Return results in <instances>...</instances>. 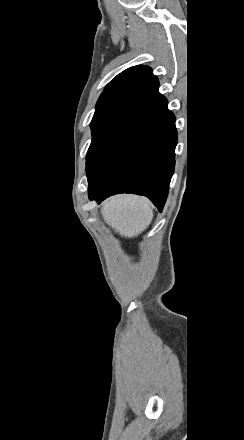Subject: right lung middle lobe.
Wrapping results in <instances>:
<instances>
[{"label": "right lung middle lobe", "mask_w": 244, "mask_h": 440, "mask_svg": "<svg viewBox=\"0 0 244 440\" xmlns=\"http://www.w3.org/2000/svg\"><path fill=\"white\" fill-rule=\"evenodd\" d=\"M140 99L120 97L98 101L91 121L92 143L86 156V168L89 169L95 154L115 125L133 108Z\"/></svg>", "instance_id": "obj_1"}]
</instances>
